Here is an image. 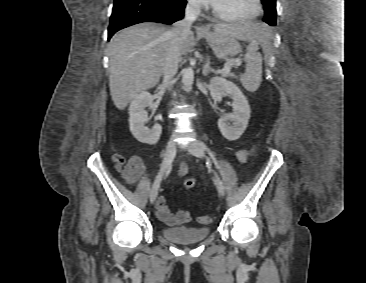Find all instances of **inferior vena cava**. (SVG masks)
<instances>
[{
  "instance_id": "inferior-vena-cava-1",
  "label": "inferior vena cava",
  "mask_w": 366,
  "mask_h": 283,
  "mask_svg": "<svg viewBox=\"0 0 366 283\" xmlns=\"http://www.w3.org/2000/svg\"><path fill=\"white\" fill-rule=\"evenodd\" d=\"M200 14V5L196 0H188L185 9V17L177 21L171 30L170 43L163 64V82L165 85L172 87L174 83V76L178 70L181 49L187 35L191 32L192 23Z\"/></svg>"
}]
</instances>
